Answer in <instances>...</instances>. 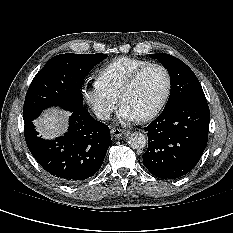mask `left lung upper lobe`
Wrapping results in <instances>:
<instances>
[{
  "instance_id": "5c2ea615",
  "label": "left lung upper lobe",
  "mask_w": 233,
  "mask_h": 233,
  "mask_svg": "<svg viewBox=\"0 0 233 233\" xmlns=\"http://www.w3.org/2000/svg\"><path fill=\"white\" fill-rule=\"evenodd\" d=\"M150 56L162 63L170 75L171 92L164 109L183 102H207L196 75L183 61L166 53Z\"/></svg>"
}]
</instances>
